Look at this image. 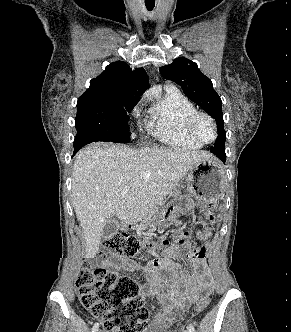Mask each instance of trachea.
I'll list each match as a JSON object with an SVG mask.
<instances>
[{"instance_id": "3493384b", "label": "trachea", "mask_w": 291, "mask_h": 332, "mask_svg": "<svg viewBox=\"0 0 291 332\" xmlns=\"http://www.w3.org/2000/svg\"><path fill=\"white\" fill-rule=\"evenodd\" d=\"M145 5H146V8L148 11H152L153 8L155 7V3H146L145 2Z\"/></svg>"}]
</instances>
